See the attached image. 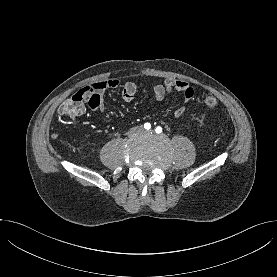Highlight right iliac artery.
<instances>
[{
    "label": "right iliac artery",
    "mask_w": 277,
    "mask_h": 277,
    "mask_svg": "<svg viewBox=\"0 0 277 277\" xmlns=\"http://www.w3.org/2000/svg\"><path fill=\"white\" fill-rule=\"evenodd\" d=\"M144 128L149 130L151 128V124L150 123H145Z\"/></svg>",
    "instance_id": "1"
}]
</instances>
